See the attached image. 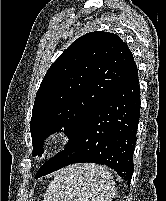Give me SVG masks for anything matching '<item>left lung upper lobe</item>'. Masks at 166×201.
I'll use <instances>...</instances> for the list:
<instances>
[{
	"mask_svg": "<svg viewBox=\"0 0 166 201\" xmlns=\"http://www.w3.org/2000/svg\"><path fill=\"white\" fill-rule=\"evenodd\" d=\"M134 62L116 34L87 33L75 40L50 66L32 110L33 156L43 141L63 131L71 137L99 106Z\"/></svg>",
	"mask_w": 166,
	"mask_h": 201,
	"instance_id": "obj_1",
	"label": "left lung upper lobe"
}]
</instances>
